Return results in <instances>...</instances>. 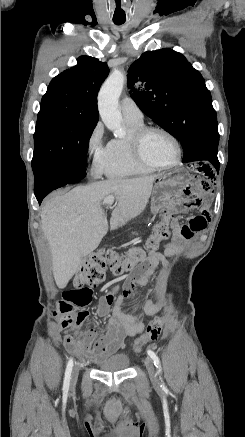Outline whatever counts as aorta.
<instances>
[{"mask_svg":"<svg viewBox=\"0 0 245 437\" xmlns=\"http://www.w3.org/2000/svg\"><path fill=\"white\" fill-rule=\"evenodd\" d=\"M125 82L124 75L113 71L102 85L98 95V108L102 121L111 130L115 137H123L124 129L121 127L122 115L118 108V99Z\"/></svg>","mask_w":245,"mask_h":437,"instance_id":"aorta-1","label":"aorta"}]
</instances>
